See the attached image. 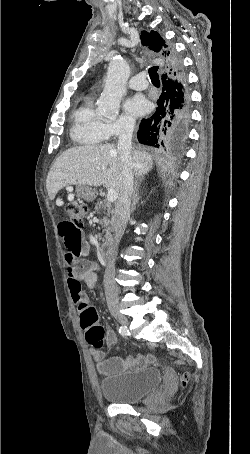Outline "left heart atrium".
I'll use <instances>...</instances> for the list:
<instances>
[{
	"label": "left heart atrium",
	"mask_w": 250,
	"mask_h": 454,
	"mask_svg": "<svg viewBox=\"0 0 250 454\" xmlns=\"http://www.w3.org/2000/svg\"><path fill=\"white\" fill-rule=\"evenodd\" d=\"M124 108L129 115L139 117L148 111L149 105L143 96L135 95L125 102Z\"/></svg>",
	"instance_id": "obj_1"
}]
</instances>
